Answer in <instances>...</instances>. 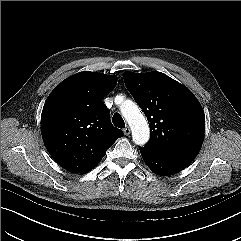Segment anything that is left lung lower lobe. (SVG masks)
<instances>
[{
    "mask_svg": "<svg viewBox=\"0 0 241 241\" xmlns=\"http://www.w3.org/2000/svg\"><path fill=\"white\" fill-rule=\"evenodd\" d=\"M139 149L146 164L154 173L158 175L168 176L175 174L190 164V162L181 161L162 155L154 150L149 149L148 147H139Z\"/></svg>",
    "mask_w": 241,
    "mask_h": 241,
    "instance_id": "1",
    "label": "left lung lower lobe"
}]
</instances>
